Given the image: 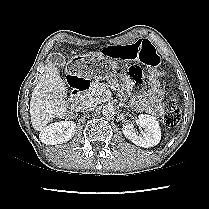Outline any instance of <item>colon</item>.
<instances>
[{
	"label": "colon",
	"mask_w": 209,
	"mask_h": 209,
	"mask_svg": "<svg viewBox=\"0 0 209 209\" xmlns=\"http://www.w3.org/2000/svg\"><path fill=\"white\" fill-rule=\"evenodd\" d=\"M102 53L123 60H138L151 68H157L160 64V56L155 46L148 40H139L130 45L115 48L104 46ZM155 75H160V72L156 70ZM180 119V107L175 103L167 104L163 113L164 124L168 127H174L179 123Z\"/></svg>",
	"instance_id": "obj_1"
}]
</instances>
